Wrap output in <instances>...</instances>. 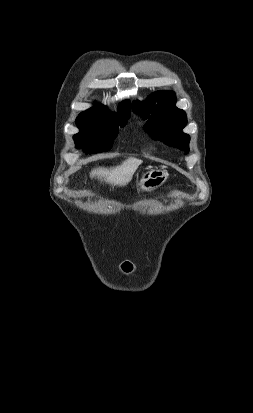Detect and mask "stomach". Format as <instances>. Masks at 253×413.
<instances>
[{
    "label": "stomach",
    "mask_w": 253,
    "mask_h": 413,
    "mask_svg": "<svg viewBox=\"0 0 253 413\" xmlns=\"http://www.w3.org/2000/svg\"><path fill=\"white\" fill-rule=\"evenodd\" d=\"M168 178V173L162 169H150L144 172L138 182L142 191L151 192L163 185Z\"/></svg>",
    "instance_id": "0dacf381"
}]
</instances>
